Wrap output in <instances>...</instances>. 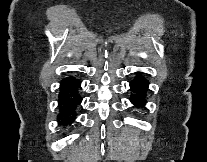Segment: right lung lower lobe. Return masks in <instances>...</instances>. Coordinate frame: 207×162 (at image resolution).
<instances>
[{
	"mask_svg": "<svg viewBox=\"0 0 207 162\" xmlns=\"http://www.w3.org/2000/svg\"><path fill=\"white\" fill-rule=\"evenodd\" d=\"M80 81L74 77L66 78L61 83L59 99L60 122L64 125L71 124L76 118V107L81 103L82 98L78 94Z\"/></svg>",
	"mask_w": 207,
	"mask_h": 162,
	"instance_id": "right-lung-lower-lobe-1",
	"label": "right lung lower lobe"
}]
</instances>
